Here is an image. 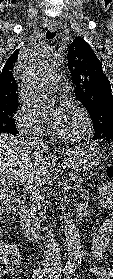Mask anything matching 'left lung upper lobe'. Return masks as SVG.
<instances>
[{
    "instance_id": "obj_1",
    "label": "left lung upper lobe",
    "mask_w": 113,
    "mask_h": 279,
    "mask_svg": "<svg viewBox=\"0 0 113 279\" xmlns=\"http://www.w3.org/2000/svg\"><path fill=\"white\" fill-rule=\"evenodd\" d=\"M67 57L75 95L92 119L94 134L113 132V96L101 62L81 37L70 44Z\"/></svg>"
}]
</instances>
